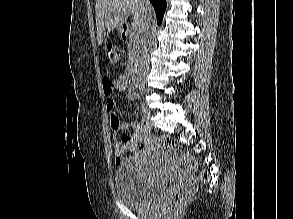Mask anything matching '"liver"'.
<instances>
[{"label": "liver", "instance_id": "obj_1", "mask_svg": "<svg viewBox=\"0 0 293 219\" xmlns=\"http://www.w3.org/2000/svg\"><path fill=\"white\" fill-rule=\"evenodd\" d=\"M95 9L98 45L103 43L105 29H121L129 15H133L132 26L140 33L154 17L151 4L147 7L145 0H96Z\"/></svg>", "mask_w": 293, "mask_h": 219}]
</instances>
